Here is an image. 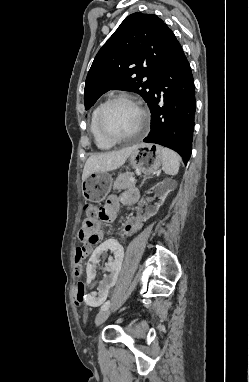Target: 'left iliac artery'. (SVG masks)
<instances>
[{"mask_svg":"<svg viewBox=\"0 0 249 382\" xmlns=\"http://www.w3.org/2000/svg\"><path fill=\"white\" fill-rule=\"evenodd\" d=\"M109 306H110V301H107V302H105V303L102 305L101 310H106V309L109 308Z\"/></svg>","mask_w":249,"mask_h":382,"instance_id":"left-iliac-artery-1","label":"left iliac artery"}]
</instances>
